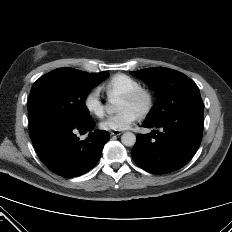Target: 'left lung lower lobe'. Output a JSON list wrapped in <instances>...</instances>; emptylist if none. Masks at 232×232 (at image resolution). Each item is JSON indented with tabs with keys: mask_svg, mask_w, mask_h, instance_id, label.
I'll return each mask as SVG.
<instances>
[{
	"mask_svg": "<svg viewBox=\"0 0 232 232\" xmlns=\"http://www.w3.org/2000/svg\"><path fill=\"white\" fill-rule=\"evenodd\" d=\"M203 106L197 105L172 113L159 122L145 120L146 128H162L137 135L131 155L142 169L165 174L186 165L196 153L203 133Z\"/></svg>",
	"mask_w": 232,
	"mask_h": 232,
	"instance_id": "left-lung-lower-lobe-1",
	"label": "left lung lower lobe"
}]
</instances>
